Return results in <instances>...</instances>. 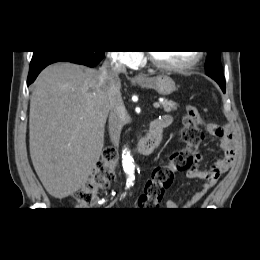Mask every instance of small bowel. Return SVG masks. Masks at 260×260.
Returning a JSON list of instances; mask_svg holds the SVG:
<instances>
[{
    "label": "small bowel",
    "mask_w": 260,
    "mask_h": 260,
    "mask_svg": "<svg viewBox=\"0 0 260 260\" xmlns=\"http://www.w3.org/2000/svg\"><path fill=\"white\" fill-rule=\"evenodd\" d=\"M162 119L166 123V127L172 123V117L170 115H164ZM196 125L203 127L207 133L219 138L220 147L224 152L221 159L217 160L209 169L200 167V163L203 160V155L197 153L194 158L193 165L186 171V177L190 179H201L204 183L199 191L194 193L190 199L183 205H179L176 201L169 199L165 202V207L168 210H187L193 207L198 201H200L218 182L221 175L227 172L236 157V143L237 135L234 128L229 125H219L211 122H205L197 113ZM141 208H153V205L147 198L140 196L138 201Z\"/></svg>",
    "instance_id": "c3829d8e"
}]
</instances>
